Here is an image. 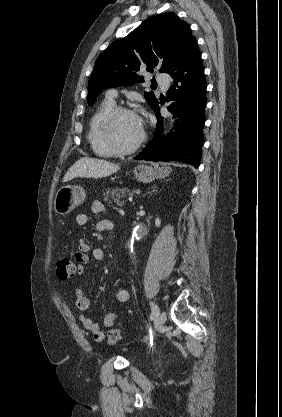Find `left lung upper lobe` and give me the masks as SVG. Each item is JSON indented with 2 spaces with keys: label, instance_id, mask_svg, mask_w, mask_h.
I'll return each mask as SVG.
<instances>
[{
  "label": "left lung upper lobe",
  "instance_id": "left-lung-upper-lobe-1",
  "mask_svg": "<svg viewBox=\"0 0 282 417\" xmlns=\"http://www.w3.org/2000/svg\"><path fill=\"white\" fill-rule=\"evenodd\" d=\"M195 40L190 26L174 13H163L144 20L134 31L114 41L98 57L88 85V104L92 105L105 88L117 84L143 82L136 74L142 68L167 73L189 42ZM153 108L158 100L145 92Z\"/></svg>",
  "mask_w": 282,
  "mask_h": 417
}]
</instances>
